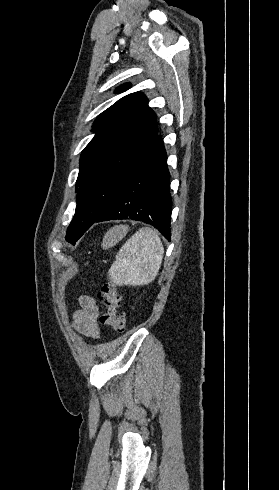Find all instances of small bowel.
<instances>
[{
	"label": "small bowel",
	"instance_id": "obj_1",
	"mask_svg": "<svg viewBox=\"0 0 279 490\" xmlns=\"http://www.w3.org/2000/svg\"><path fill=\"white\" fill-rule=\"evenodd\" d=\"M80 308L73 313V326L75 330L88 338L97 339L101 330L97 322L99 306L95 298L81 295L78 298Z\"/></svg>",
	"mask_w": 279,
	"mask_h": 490
}]
</instances>
